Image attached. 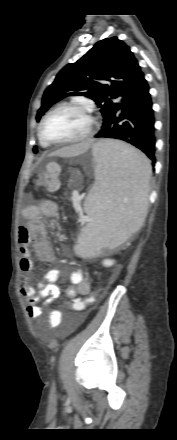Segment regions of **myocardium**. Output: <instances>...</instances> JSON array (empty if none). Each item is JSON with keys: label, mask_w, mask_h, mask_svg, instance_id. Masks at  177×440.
Segmentation results:
<instances>
[{"label": "myocardium", "mask_w": 177, "mask_h": 440, "mask_svg": "<svg viewBox=\"0 0 177 440\" xmlns=\"http://www.w3.org/2000/svg\"><path fill=\"white\" fill-rule=\"evenodd\" d=\"M65 109H75V110H79V111L84 112L88 116L89 121H90L89 128L87 129V131L83 135H81L78 138L63 140V141H52V140L47 139L44 135V127H45L47 121L49 120V118L52 115H54L55 113H57L61 110H65ZM96 127H97V120L93 116L89 107L82 105V104H77V103H63V104H60V105L56 106L55 108H53L51 111H49L45 115V117L43 118V120L40 123L39 129H38V135H39L40 141L44 142L48 146L68 145V144L80 143V142L87 140L88 138H90L93 135Z\"/></svg>", "instance_id": "myocardium-1"}]
</instances>
